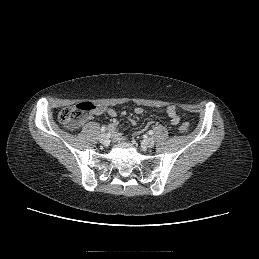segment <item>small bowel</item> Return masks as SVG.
<instances>
[{"mask_svg":"<svg viewBox=\"0 0 259 259\" xmlns=\"http://www.w3.org/2000/svg\"><path fill=\"white\" fill-rule=\"evenodd\" d=\"M166 112L167 115L169 116L171 123L173 125H177L180 121L179 115L176 112V108L173 105H169L166 107ZM134 113L137 115H141L143 113V109L141 107H135L134 108ZM96 114H107L108 116L115 118L117 116V111L113 108H105V107H100L96 111ZM110 130L114 133V135L118 138L121 139L123 135L117 130V124L114 122L110 125Z\"/></svg>","mask_w":259,"mask_h":259,"instance_id":"c3829d8e","label":"small bowel"}]
</instances>
